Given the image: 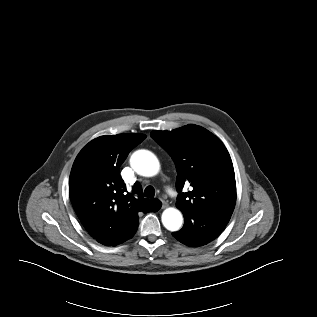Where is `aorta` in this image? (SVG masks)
I'll return each instance as SVG.
<instances>
[{"mask_svg":"<svg viewBox=\"0 0 317 317\" xmlns=\"http://www.w3.org/2000/svg\"><path fill=\"white\" fill-rule=\"evenodd\" d=\"M130 165L137 174L145 177L155 176L160 167L157 157L148 150L134 152L130 158ZM161 219L164 227L170 231L179 230L183 222L181 212L173 207L165 209Z\"/></svg>","mask_w":317,"mask_h":317,"instance_id":"aorta-1","label":"aorta"}]
</instances>
